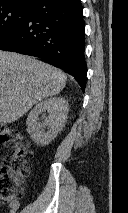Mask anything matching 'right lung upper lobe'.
I'll list each match as a JSON object with an SVG mask.
<instances>
[{"mask_svg":"<svg viewBox=\"0 0 128 213\" xmlns=\"http://www.w3.org/2000/svg\"><path fill=\"white\" fill-rule=\"evenodd\" d=\"M38 1L39 0H0V6H5V5H20V6L32 7Z\"/></svg>","mask_w":128,"mask_h":213,"instance_id":"1","label":"right lung upper lobe"}]
</instances>
